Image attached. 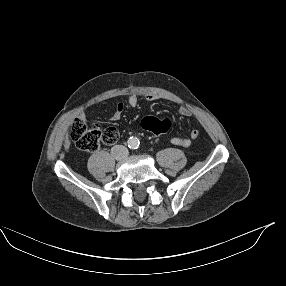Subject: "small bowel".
<instances>
[{"label":"small bowel","mask_w":286,"mask_h":286,"mask_svg":"<svg viewBox=\"0 0 286 286\" xmlns=\"http://www.w3.org/2000/svg\"><path fill=\"white\" fill-rule=\"evenodd\" d=\"M145 99L147 101L153 102V101L158 100L159 97L156 94L149 93L145 96ZM127 104L133 108L137 107L139 104V98L136 95H130L128 97ZM124 109H125V105L123 103H118L116 106L115 112L112 116V120L114 121L119 120L123 114ZM179 113L180 115L185 116V117H189L192 114L191 111L186 107H181L179 110ZM81 119L85 120V117L82 116ZM198 136H199V132L194 129L190 132L189 137L187 138L172 137L170 141L173 145L188 148L191 146L192 141L195 140Z\"/></svg>","instance_id":"c3829d8e"}]
</instances>
